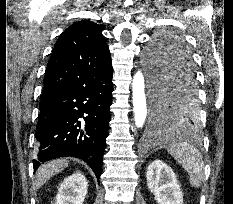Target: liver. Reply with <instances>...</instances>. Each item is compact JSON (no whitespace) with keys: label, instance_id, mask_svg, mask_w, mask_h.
Returning <instances> with one entry per match:
<instances>
[{"label":"liver","instance_id":"liver-1","mask_svg":"<svg viewBox=\"0 0 233 204\" xmlns=\"http://www.w3.org/2000/svg\"><path fill=\"white\" fill-rule=\"evenodd\" d=\"M67 159H56L40 166L36 173L35 189H39L48 179L68 166Z\"/></svg>","mask_w":233,"mask_h":204}]
</instances>
